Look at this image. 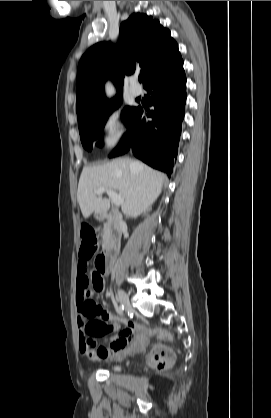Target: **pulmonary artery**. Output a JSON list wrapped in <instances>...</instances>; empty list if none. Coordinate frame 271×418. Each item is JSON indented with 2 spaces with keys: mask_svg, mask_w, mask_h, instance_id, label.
<instances>
[{
  "mask_svg": "<svg viewBox=\"0 0 271 418\" xmlns=\"http://www.w3.org/2000/svg\"><path fill=\"white\" fill-rule=\"evenodd\" d=\"M136 81L135 80H133V83H132V85H131V87H130V93H131V95L132 96H134V97H138V96H140L141 95V93H142V90L136 85V83H135Z\"/></svg>",
  "mask_w": 271,
  "mask_h": 418,
  "instance_id": "1",
  "label": "pulmonary artery"
}]
</instances>
